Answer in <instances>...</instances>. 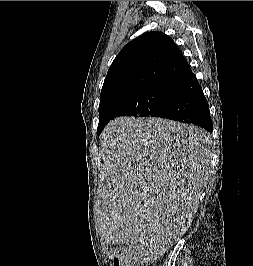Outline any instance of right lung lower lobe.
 <instances>
[{
    "label": "right lung lower lobe",
    "instance_id": "98d812e1",
    "mask_svg": "<svg viewBox=\"0 0 253 266\" xmlns=\"http://www.w3.org/2000/svg\"><path fill=\"white\" fill-rule=\"evenodd\" d=\"M159 117L192 123L212 132L208 102L191 70L172 83L167 105Z\"/></svg>",
    "mask_w": 253,
    "mask_h": 266
}]
</instances>
